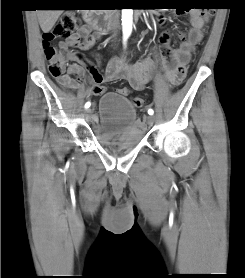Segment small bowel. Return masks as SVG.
Listing matches in <instances>:
<instances>
[{
	"instance_id": "1",
	"label": "small bowel",
	"mask_w": 245,
	"mask_h": 278,
	"mask_svg": "<svg viewBox=\"0 0 245 278\" xmlns=\"http://www.w3.org/2000/svg\"><path fill=\"white\" fill-rule=\"evenodd\" d=\"M202 15L199 10H191L190 22L192 27L187 35L178 34L180 39L179 48H171V35L165 33L160 37L158 47L153 49L155 57L160 56V66L164 70L165 78L170 83L182 79L188 73L192 53L202 41L204 35ZM101 36L102 33H92L91 27L84 25L76 33L68 36L64 42H61V45H67L80 51H88L99 41ZM155 68L156 64L151 58L129 64L125 57H115L109 64L106 76L103 78L98 73L96 65L83 58L68 67L64 74L65 79L69 81L68 84L60 80L58 82L65 88L78 89L83 84L94 81L95 84L90 91L97 96L105 93V88L101 84L103 80H126L130 83L132 89L141 91L153 79Z\"/></svg>"
}]
</instances>
